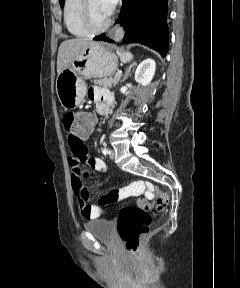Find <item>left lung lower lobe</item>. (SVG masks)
Here are the masks:
<instances>
[{
	"instance_id": "1",
	"label": "left lung lower lobe",
	"mask_w": 240,
	"mask_h": 288,
	"mask_svg": "<svg viewBox=\"0 0 240 288\" xmlns=\"http://www.w3.org/2000/svg\"><path fill=\"white\" fill-rule=\"evenodd\" d=\"M167 1L122 0V8L116 21L125 29L122 42L146 45L165 57L169 49ZM94 40L111 42L104 34Z\"/></svg>"
}]
</instances>
